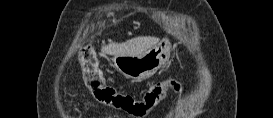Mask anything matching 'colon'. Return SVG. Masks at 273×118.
Instances as JSON below:
<instances>
[{"label": "colon", "mask_w": 273, "mask_h": 118, "mask_svg": "<svg viewBox=\"0 0 273 118\" xmlns=\"http://www.w3.org/2000/svg\"><path fill=\"white\" fill-rule=\"evenodd\" d=\"M83 77L88 89L101 103L120 109L133 117L146 116L169 91H181V83L172 78L153 85L140 99L130 95L119 94L115 89L105 84L104 76L98 68L95 50L92 45H86L81 53Z\"/></svg>", "instance_id": "1"}]
</instances>
